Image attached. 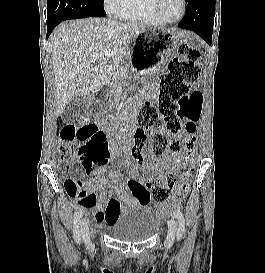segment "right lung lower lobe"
<instances>
[{
	"instance_id": "1",
	"label": "right lung lower lobe",
	"mask_w": 265,
	"mask_h": 273,
	"mask_svg": "<svg viewBox=\"0 0 265 273\" xmlns=\"http://www.w3.org/2000/svg\"><path fill=\"white\" fill-rule=\"evenodd\" d=\"M56 25L57 24H47V38L49 37Z\"/></svg>"
}]
</instances>
